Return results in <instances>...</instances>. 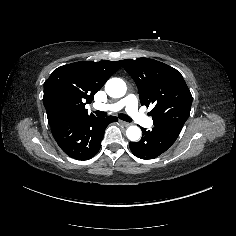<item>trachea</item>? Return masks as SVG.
<instances>
[{
    "label": "trachea",
    "instance_id": "obj_1",
    "mask_svg": "<svg viewBox=\"0 0 236 236\" xmlns=\"http://www.w3.org/2000/svg\"><path fill=\"white\" fill-rule=\"evenodd\" d=\"M95 114H96V116H98V117H106V116H107V113L104 112V111H96ZM118 117H119V119H121V120H123V121H126V122H128V123L133 122V119H132L131 117H129L128 115H126V114L120 113V114L118 115Z\"/></svg>",
    "mask_w": 236,
    "mask_h": 236
}]
</instances>
